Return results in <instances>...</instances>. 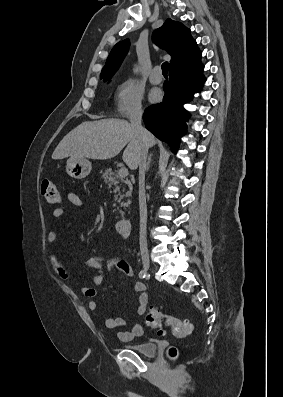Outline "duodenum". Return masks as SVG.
Instances as JSON below:
<instances>
[{"instance_id": "obj_1", "label": "duodenum", "mask_w": 283, "mask_h": 397, "mask_svg": "<svg viewBox=\"0 0 283 397\" xmlns=\"http://www.w3.org/2000/svg\"><path fill=\"white\" fill-rule=\"evenodd\" d=\"M131 219L123 217L116 222V230L121 236H128L131 232Z\"/></svg>"}]
</instances>
